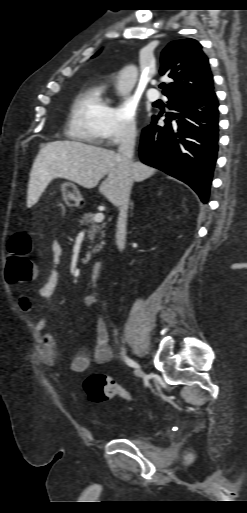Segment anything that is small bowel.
Listing matches in <instances>:
<instances>
[{"label":"small bowel","mask_w":247,"mask_h":513,"mask_svg":"<svg viewBox=\"0 0 247 513\" xmlns=\"http://www.w3.org/2000/svg\"><path fill=\"white\" fill-rule=\"evenodd\" d=\"M53 270L47 279L39 286L38 293L41 297H50L57 290L60 284V275L58 266L62 260L63 248L58 240L51 243ZM38 271L35 269L34 278H37ZM97 302L95 295L89 294L83 298V306L85 308L93 307ZM20 305L28 310L31 309V300L26 295L20 296ZM37 331L40 334V342L38 347L39 361L48 367H55L58 362V352L54 337L50 331L49 321L41 318L36 324ZM113 358V352L108 344V327L104 319L100 318L96 323V342L93 351L87 347L80 348L71 359L69 368L76 373L86 372L91 362L97 364H106Z\"/></svg>","instance_id":"obj_1"}]
</instances>
